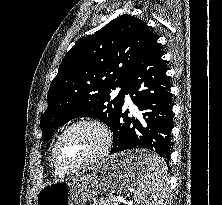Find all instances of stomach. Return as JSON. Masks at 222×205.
Masks as SVG:
<instances>
[{"label":"stomach","mask_w":222,"mask_h":205,"mask_svg":"<svg viewBox=\"0 0 222 205\" xmlns=\"http://www.w3.org/2000/svg\"><path fill=\"white\" fill-rule=\"evenodd\" d=\"M145 150L112 155L72 180L46 184L38 193L36 205H86L97 191L126 193L143 179Z\"/></svg>","instance_id":"0dacf381"}]
</instances>
